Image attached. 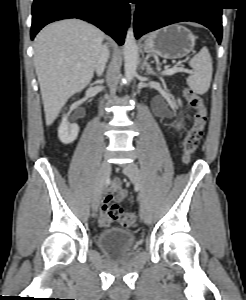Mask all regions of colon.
<instances>
[{
  "label": "colon",
  "mask_w": 246,
  "mask_h": 300,
  "mask_svg": "<svg viewBox=\"0 0 246 300\" xmlns=\"http://www.w3.org/2000/svg\"><path fill=\"white\" fill-rule=\"evenodd\" d=\"M184 95L189 105L196 110L194 124L183 141V160L188 162L199 146L208 115L200 95L188 88L185 89ZM102 212L112 221L125 227H131L136 223L135 214L124 212L119 205L111 204L108 199L103 201Z\"/></svg>",
  "instance_id": "obj_1"
}]
</instances>
